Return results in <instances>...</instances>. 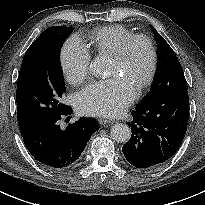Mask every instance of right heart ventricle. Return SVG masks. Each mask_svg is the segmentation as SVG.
Segmentation results:
<instances>
[{"label":"right heart ventricle","mask_w":205,"mask_h":205,"mask_svg":"<svg viewBox=\"0 0 205 205\" xmlns=\"http://www.w3.org/2000/svg\"><path fill=\"white\" fill-rule=\"evenodd\" d=\"M131 30L122 25H110L96 29L89 36V43L98 55H114L131 36Z\"/></svg>","instance_id":"1"}]
</instances>
